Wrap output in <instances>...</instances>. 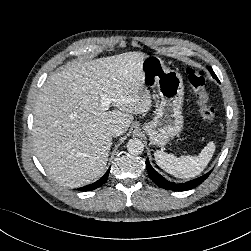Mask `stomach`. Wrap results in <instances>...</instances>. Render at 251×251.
<instances>
[{
  "label": "stomach",
  "instance_id": "0dacf381",
  "mask_svg": "<svg viewBox=\"0 0 251 251\" xmlns=\"http://www.w3.org/2000/svg\"><path fill=\"white\" fill-rule=\"evenodd\" d=\"M141 68L144 86L147 89L157 88L160 95L155 116L145 123L143 129L151 144L163 146L183 128V79L178 72L166 68L163 60L155 55L144 58Z\"/></svg>",
  "mask_w": 251,
  "mask_h": 251
}]
</instances>
